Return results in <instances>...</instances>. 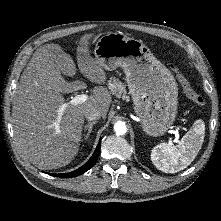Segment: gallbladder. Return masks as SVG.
I'll use <instances>...</instances> for the list:
<instances>
[{
  "mask_svg": "<svg viewBox=\"0 0 221 221\" xmlns=\"http://www.w3.org/2000/svg\"><path fill=\"white\" fill-rule=\"evenodd\" d=\"M57 89H58L60 92H67L68 89H69V86L67 85L66 82H64V83L60 82V83H58V85H57Z\"/></svg>",
  "mask_w": 221,
  "mask_h": 221,
  "instance_id": "gallbladder-1",
  "label": "gallbladder"
}]
</instances>
